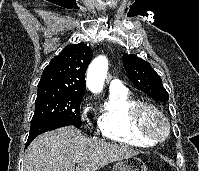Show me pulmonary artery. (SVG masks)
I'll list each match as a JSON object with an SVG mask.
<instances>
[{"instance_id":"obj_1","label":"pulmonary artery","mask_w":199,"mask_h":171,"mask_svg":"<svg viewBox=\"0 0 199 171\" xmlns=\"http://www.w3.org/2000/svg\"><path fill=\"white\" fill-rule=\"evenodd\" d=\"M125 88L122 83L117 80V79H113L111 82H110V85H109V90H120V89H123Z\"/></svg>"}]
</instances>
